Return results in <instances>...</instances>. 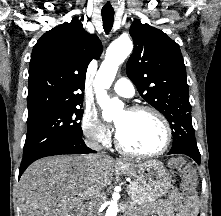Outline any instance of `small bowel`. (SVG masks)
I'll use <instances>...</instances> for the list:
<instances>
[{
	"label": "small bowel",
	"instance_id": "c3829d8e",
	"mask_svg": "<svg viewBox=\"0 0 221 216\" xmlns=\"http://www.w3.org/2000/svg\"><path fill=\"white\" fill-rule=\"evenodd\" d=\"M197 203L192 204L181 202V195L178 191H172L168 199L161 204L157 216H196Z\"/></svg>",
	"mask_w": 221,
	"mask_h": 216
}]
</instances>
